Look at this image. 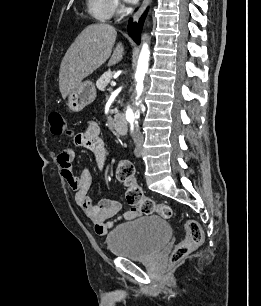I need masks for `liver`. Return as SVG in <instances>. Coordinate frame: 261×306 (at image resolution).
<instances>
[{
  "mask_svg": "<svg viewBox=\"0 0 261 306\" xmlns=\"http://www.w3.org/2000/svg\"><path fill=\"white\" fill-rule=\"evenodd\" d=\"M116 36V29L103 23L89 25L78 35L60 65L59 89L64 99L108 59V66L121 61L122 43H118L112 54Z\"/></svg>",
  "mask_w": 261,
  "mask_h": 306,
  "instance_id": "obj_1",
  "label": "liver"
}]
</instances>
